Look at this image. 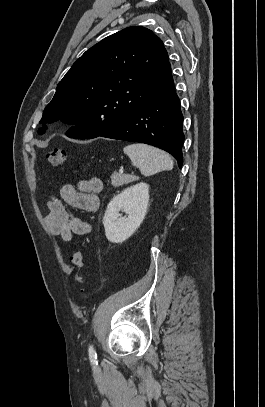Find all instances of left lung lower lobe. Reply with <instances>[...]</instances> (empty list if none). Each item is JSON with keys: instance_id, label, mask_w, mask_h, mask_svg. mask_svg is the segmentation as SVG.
I'll return each instance as SVG.
<instances>
[{"instance_id": "obj_1", "label": "left lung lower lobe", "mask_w": 265, "mask_h": 407, "mask_svg": "<svg viewBox=\"0 0 265 407\" xmlns=\"http://www.w3.org/2000/svg\"><path fill=\"white\" fill-rule=\"evenodd\" d=\"M183 115L173 80L101 137L145 143L166 150L182 167Z\"/></svg>"}]
</instances>
